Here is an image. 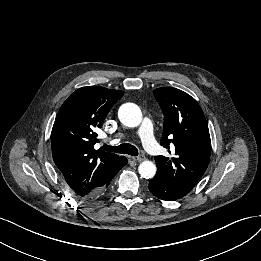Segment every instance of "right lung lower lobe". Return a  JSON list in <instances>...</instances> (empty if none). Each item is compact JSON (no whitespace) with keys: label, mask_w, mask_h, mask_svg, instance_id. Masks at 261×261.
I'll list each match as a JSON object with an SVG mask.
<instances>
[{"label":"right lung lower lobe","mask_w":261,"mask_h":261,"mask_svg":"<svg viewBox=\"0 0 261 261\" xmlns=\"http://www.w3.org/2000/svg\"><path fill=\"white\" fill-rule=\"evenodd\" d=\"M127 164V159L124 157V159L118 164L117 168L114 170V172L112 173L111 177L109 178V180L107 181V183L101 187L98 191H96L92 196L98 195L100 193H102L106 187L110 184L111 180L114 178V176L117 174V172Z\"/></svg>","instance_id":"obj_1"}]
</instances>
